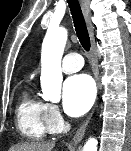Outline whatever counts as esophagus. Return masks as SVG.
Instances as JSON below:
<instances>
[{"label":"esophagus","instance_id":"1","mask_svg":"<svg viewBox=\"0 0 131 151\" xmlns=\"http://www.w3.org/2000/svg\"><path fill=\"white\" fill-rule=\"evenodd\" d=\"M82 9L84 13V17L86 20L88 32L91 39V53H92V70L94 74V78L97 84V87H99V70H98V62H97V56H96V45H95V37H94V27L91 22L90 18V10H89V0H81ZM89 123V118L79 127L77 132L75 133L72 144L76 145L78 144L82 138L84 137V134L86 132L87 126Z\"/></svg>","mask_w":131,"mask_h":151}]
</instances>
